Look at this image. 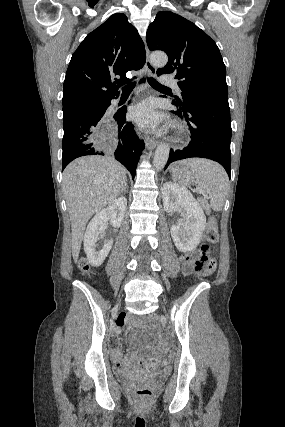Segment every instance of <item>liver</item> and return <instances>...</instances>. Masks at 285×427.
Segmentation results:
<instances>
[{
	"label": "liver",
	"instance_id": "liver-1",
	"mask_svg": "<svg viewBox=\"0 0 285 427\" xmlns=\"http://www.w3.org/2000/svg\"><path fill=\"white\" fill-rule=\"evenodd\" d=\"M126 169L110 156H85L63 172V192L72 228V256L76 263L86 224L119 195L126 183Z\"/></svg>",
	"mask_w": 285,
	"mask_h": 427
}]
</instances>
